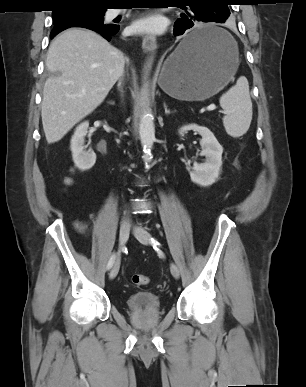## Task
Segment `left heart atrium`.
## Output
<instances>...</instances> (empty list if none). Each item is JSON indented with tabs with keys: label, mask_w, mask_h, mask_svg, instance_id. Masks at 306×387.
<instances>
[{
	"label": "left heart atrium",
	"mask_w": 306,
	"mask_h": 387,
	"mask_svg": "<svg viewBox=\"0 0 306 387\" xmlns=\"http://www.w3.org/2000/svg\"><path fill=\"white\" fill-rule=\"evenodd\" d=\"M163 27V21L160 17L147 16L135 21L131 29L134 32H160Z\"/></svg>",
	"instance_id": "left-heart-atrium-1"
}]
</instances>
